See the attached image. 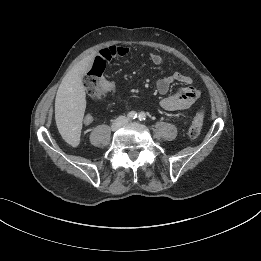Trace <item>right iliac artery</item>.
I'll return each instance as SVG.
<instances>
[{
    "label": "right iliac artery",
    "mask_w": 261,
    "mask_h": 261,
    "mask_svg": "<svg viewBox=\"0 0 261 261\" xmlns=\"http://www.w3.org/2000/svg\"><path fill=\"white\" fill-rule=\"evenodd\" d=\"M127 116H128V119L133 120V119L137 118V113L135 111H131L128 113Z\"/></svg>",
    "instance_id": "right-iliac-artery-1"
}]
</instances>
